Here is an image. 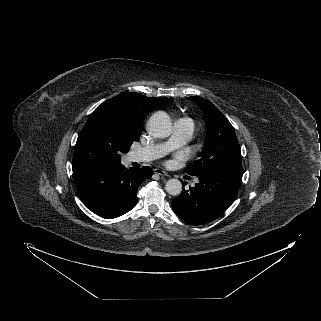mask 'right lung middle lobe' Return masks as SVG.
Listing matches in <instances>:
<instances>
[{"label":"right lung middle lobe","mask_w":321,"mask_h":321,"mask_svg":"<svg viewBox=\"0 0 321 321\" xmlns=\"http://www.w3.org/2000/svg\"><path fill=\"white\" fill-rule=\"evenodd\" d=\"M139 137L109 112L94 110L78 136L72 169L118 164L121 154Z\"/></svg>","instance_id":"right-lung-middle-lobe-1"}]
</instances>
